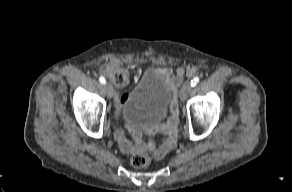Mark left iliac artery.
<instances>
[{
  "mask_svg": "<svg viewBox=\"0 0 292 192\" xmlns=\"http://www.w3.org/2000/svg\"><path fill=\"white\" fill-rule=\"evenodd\" d=\"M199 82V77H194L192 80H191V86L193 87V86H195L197 83Z\"/></svg>",
  "mask_w": 292,
  "mask_h": 192,
  "instance_id": "44dca946",
  "label": "left iliac artery"
}]
</instances>
